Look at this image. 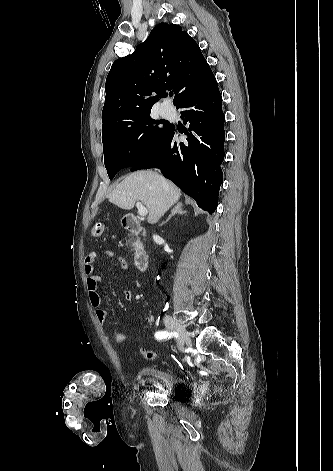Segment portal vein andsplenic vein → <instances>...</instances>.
Segmentation results:
<instances>
[{
    "instance_id": "1",
    "label": "portal vein and splenic vein",
    "mask_w": 333,
    "mask_h": 471,
    "mask_svg": "<svg viewBox=\"0 0 333 471\" xmlns=\"http://www.w3.org/2000/svg\"><path fill=\"white\" fill-rule=\"evenodd\" d=\"M136 206L138 208V214L140 216H146L148 214V209L145 206H143L141 202H137Z\"/></svg>"
}]
</instances>
